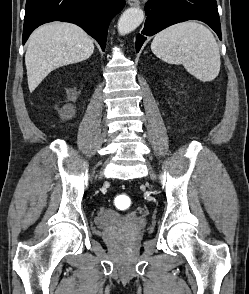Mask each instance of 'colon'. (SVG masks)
I'll list each match as a JSON object with an SVG mask.
<instances>
[{
  "mask_svg": "<svg viewBox=\"0 0 249 294\" xmlns=\"http://www.w3.org/2000/svg\"><path fill=\"white\" fill-rule=\"evenodd\" d=\"M131 203V199L126 195H119L115 199L116 206L120 208H128Z\"/></svg>",
  "mask_w": 249,
  "mask_h": 294,
  "instance_id": "5ec220e1",
  "label": "colon"
}]
</instances>
